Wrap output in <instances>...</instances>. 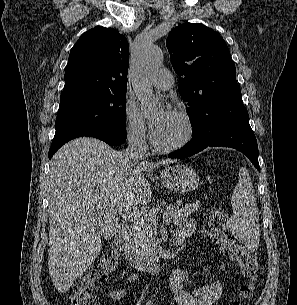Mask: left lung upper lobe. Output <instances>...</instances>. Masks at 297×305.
<instances>
[{
    "label": "left lung upper lobe",
    "mask_w": 297,
    "mask_h": 305,
    "mask_svg": "<svg viewBox=\"0 0 297 305\" xmlns=\"http://www.w3.org/2000/svg\"><path fill=\"white\" fill-rule=\"evenodd\" d=\"M179 93L187 102L193 137L230 111L243 107L236 68L223 38L203 24L185 23L166 40Z\"/></svg>",
    "instance_id": "left-lung-upper-lobe-1"
}]
</instances>
